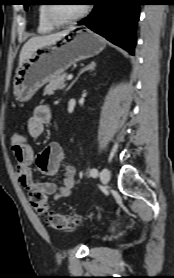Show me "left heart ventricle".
<instances>
[{
  "label": "left heart ventricle",
  "instance_id": "left-heart-ventricle-1",
  "mask_svg": "<svg viewBox=\"0 0 174 278\" xmlns=\"http://www.w3.org/2000/svg\"><path fill=\"white\" fill-rule=\"evenodd\" d=\"M83 5H59L56 6V14L60 18H70L78 14Z\"/></svg>",
  "mask_w": 174,
  "mask_h": 278
}]
</instances>
